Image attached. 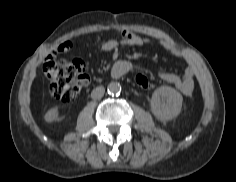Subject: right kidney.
I'll use <instances>...</instances> for the list:
<instances>
[{
	"label": "right kidney",
	"mask_w": 236,
	"mask_h": 182,
	"mask_svg": "<svg viewBox=\"0 0 236 182\" xmlns=\"http://www.w3.org/2000/svg\"><path fill=\"white\" fill-rule=\"evenodd\" d=\"M44 119L46 122L51 123L58 120V109L52 108L46 112L44 115Z\"/></svg>",
	"instance_id": "ca27d5eb"
}]
</instances>
